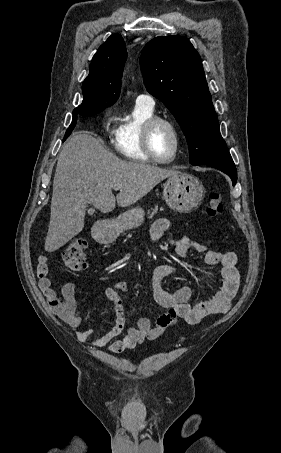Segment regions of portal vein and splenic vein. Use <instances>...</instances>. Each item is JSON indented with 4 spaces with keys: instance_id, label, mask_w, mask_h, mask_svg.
I'll list each match as a JSON object with an SVG mask.
<instances>
[{
    "instance_id": "18ae733b",
    "label": "portal vein and splenic vein",
    "mask_w": 281,
    "mask_h": 453,
    "mask_svg": "<svg viewBox=\"0 0 281 453\" xmlns=\"http://www.w3.org/2000/svg\"><path fill=\"white\" fill-rule=\"evenodd\" d=\"M114 190H120L122 188L121 184H114L113 186Z\"/></svg>"
}]
</instances>
